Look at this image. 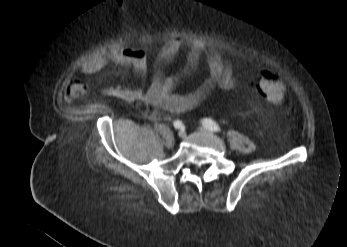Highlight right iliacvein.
<instances>
[{"instance_id":"63e3f726","label":"right iliac vein","mask_w":347,"mask_h":247,"mask_svg":"<svg viewBox=\"0 0 347 247\" xmlns=\"http://www.w3.org/2000/svg\"><path fill=\"white\" fill-rule=\"evenodd\" d=\"M185 132L183 131V130H180L179 131V133H178V136L180 137V138H184L185 137Z\"/></svg>"}]
</instances>
